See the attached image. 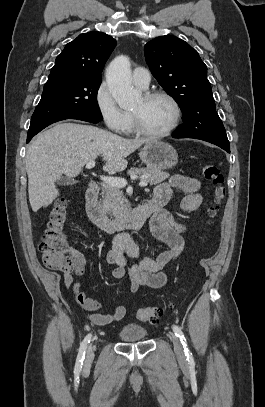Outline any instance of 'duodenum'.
<instances>
[{
    "instance_id": "1",
    "label": "duodenum",
    "mask_w": 265,
    "mask_h": 407,
    "mask_svg": "<svg viewBox=\"0 0 265 407\" xmlns=\"http://www.w3.org/2000/svg\"><path fill=\"white\" fill-rule=\"evenodd\" d=\"M99 190L98 183L90 182L86 191V212L92 223L106 233L138 229L150 215L165 205L164 200L153 198L135 206L123 217L112 219L107 216L98 201Z\"/></svg>"
}]
</instances>
